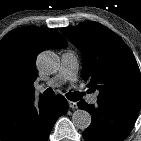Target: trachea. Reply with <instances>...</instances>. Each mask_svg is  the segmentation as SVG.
I'll use <instances>...</instances> for the list:
<instances>
[{"mask_svg":"<svg viewBox=\"0 0 141 141\" xmlns=\"http://www.w3.org/2000/svg\"><path fill=\"white\" fill-rule=\"evenodd\" d=\"M44 95L46 97H51V96H54L55 93L51 88H48L44 92ZM82 96H83V93H81V92H69V93L66 94V97L71 101H78L82 98Z\"/></svg>","mask_w":141,"mask_h":141,"instance_id":"1","label":"trachea"}]
</instances>
